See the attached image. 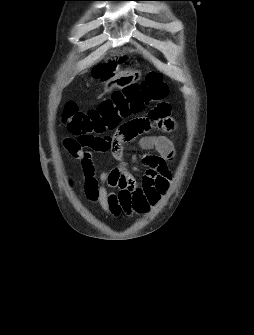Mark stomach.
Masks as SVG:
<instances>
[{"mask_svg":"<svg viewBox=\"0 0 254 335\" xmlns=\"http://www.w3.org/2000/svg\"><path fill=\"white\" fill-rule=\"evenodd\" d=\"M116 62L110 61L96 66L93 69V76L107 83V89L111 90L114 87H123L140 79L139 71H129L123 75H115Z\"/></svg>","mask_w":254,"mask_h":335,"instance_id":"stomach-1","label":"stomach"}]
</instances>
